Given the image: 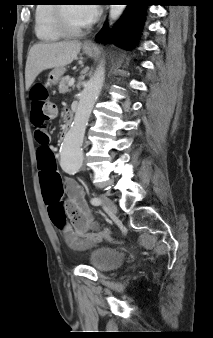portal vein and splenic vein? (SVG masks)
Masks as SVG:
<instances>
[{
  "label": "portal vein and splenic vein",
  "instance_id": "obj_1",
  "mask_svg": "<svg viewBox=\"0 0 213 338\" xmlns=\"http://www.w3.org/2000/svg\"><path fill=\"white\" fill-rule=\"evenodd\" d=\"M74 83H75V79L74 78H71L70 80H69V86H73L74 85Z\"/></svg>",
  "mask_w": 213,
  "mask_h": 338
}]
</instances>
